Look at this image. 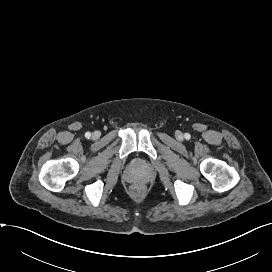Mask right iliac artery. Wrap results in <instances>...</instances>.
<instances>
[{
  "mask_svg": "<svg viewBox=\"0 0 272 272\" xmlns=\"http://www.w3.org/2000/svg\"><path fill=\"white\" fill-rule=\"evenodd\" d=\"M90 136H91V133H90V132H86V133H85V137H86V138H90Z\"/></svg>",
  "mask_w": 272,
  "mask_h": 272,
  "instance_id": "obj_1",
  "label": "right iliac artery"
}]
</instances>
